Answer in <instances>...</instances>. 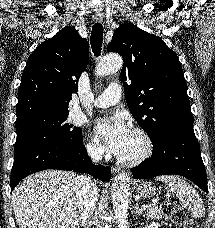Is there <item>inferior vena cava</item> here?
<instances>
[{"instance_id": "602c4592", "label": "inferior vena cava", "mask_w": 215, "mask_h": 228, "mask_svg": "<svg viewBox=\"0 0 215 228\" xmlns=\"http://www.w3.org/2000/svg\"><path fill=\"white\" fill-rule=\"evenodd\" d=\"M87 152L91 160L96 162V164L102 160L103 152L100 148L88 146ZM74 188L80 218L82 222H87V220H90L91 216H93L96 202H98L99 198V190L96 184L91 182L90 178H87V176H77V178H75Z\"/></svg>"}]
</instances>
